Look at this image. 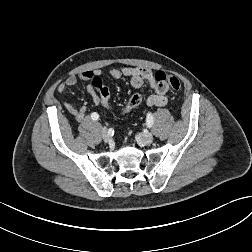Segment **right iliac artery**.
<instances>
[{"label":"right iliac artery","mask_w":252,"mask_h":252,"mask_svg":"<svg viewBox=\"0 0 252 252\" xmlns=\"http://www.w3.org/2000/svg\"><path fill=\"white\" fill-rule=\"evenodd\" d=\"M91 118H92V120H98L99 119V115L94 112V113L91 114Z\"/></svg>","instance_id":"1"}]
</instances>
